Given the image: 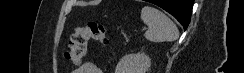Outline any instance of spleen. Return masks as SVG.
Returning a JSON list of instances; mask_svg holds the SVG:
<instances>
[{
    "label": "spleen",
    "instance_id": "3e777b00",
    "mask_svg": "<svg viewBox=\"0 0 244 73\" xmlns=\"http://www.w3.org/2000/svg\"><path fill=\"white\" fill-rule=\"evenodd\" d=\"M141 19L148 26L145 38L150 42H172L178 39L176 24L160 10L145 6L141 10Z\"/></svg>",
    "mask_w": 244,
    "mask_h": 73
}]
</instances>
